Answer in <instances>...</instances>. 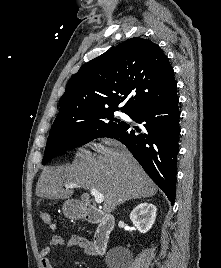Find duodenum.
Returning a JSON list of instances; mask_svg holds the SVG:
<instances>
[{"label": "duodenum", "instance_id": "410a0bca", "mask_svg": "<svg viewBox=\"0 0 221 268\" xmlns=\"http://www.w3.org/2000/svg\"><path fill=\"white\" fill-rule=\"evenodd\" d=\"M81 217L88 222L97 224L93 246L97 255H103L115 226L114 217L89 205L82 208Z\"/></svg>", "mask_w": 221, "mask_h": 268}]
</instances>
